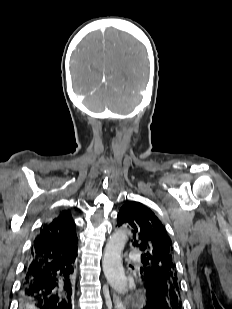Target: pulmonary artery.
Listing matches in <instances>:
<instances>
[{
  "mask_svg": "<svg viewBox=\"0 0 232 309\" xmlns=\"http://www.w3.org/2000/svg\"><path fill=\"white\" fill-rule=\"evenodd\" d=\"M130 258H132L133 260H138L139 254L135 251L130 253Z\"/></svg>",
  "mask_w": 232,
  "mask_h": 309,
  "instance_id": "e3ab8cb5",
  "label": "pulmonary artery"
}]
</instances>
